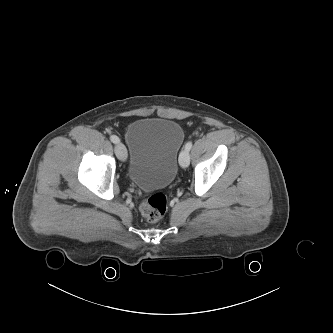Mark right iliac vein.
Here are the masks:
<instances>
[{"label":"right iliac vein","instance_id":"obj_1","mask_svg":"<svg viewBox=\"0 0 333 333\" xmlns=\"http://www.w3.org/2000/svg\"><path fill=\"white\" fill-rule=\"evenodd\" d=\"M115 153H116V156L119 158V160H121L123 162L126 161L127 151H126L125 146L121 142L116 143Z\"/></svg>","mask_w":333,"mask_h":333}]
</instances>
